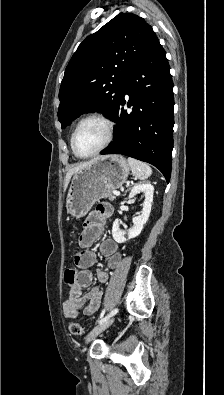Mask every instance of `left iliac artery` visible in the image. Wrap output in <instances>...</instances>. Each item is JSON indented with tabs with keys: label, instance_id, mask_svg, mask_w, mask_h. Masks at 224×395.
<instances>
[{
	"label": "left iliac artery",
	"instance_id": "left-iliac-artery-1",
	"mask_svg": "<svg viewBox=\"0 0 224 395\" xmlns=\"http://www.w3.org/2000/svg\"><path fill=\"white\" fill-rule=\"evenodd\" d=\"M117 312H118V308H115L108 315H106L104 317L105 310H103L101 315H100V318L98 319L97 322L100 324V323L104 322L105 320L109 319L110 317L114 316Z\"/></svg>",
	"mask_w": 224,
	"mask_h": 395
}]
</instances>
